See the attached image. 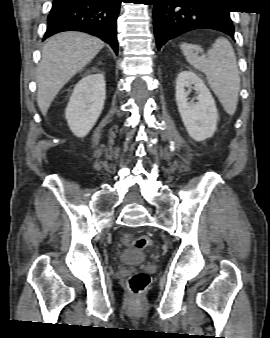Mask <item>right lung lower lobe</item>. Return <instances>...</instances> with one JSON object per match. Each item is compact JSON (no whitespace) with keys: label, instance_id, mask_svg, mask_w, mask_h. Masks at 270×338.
I'll list each match as a JSON object with an SVG mask.
<instances>
[{"label":"right lung lower lobe","instance_id":"98d812e1","mask_svg":"<svg viewBox=\"0 0 270 338\" xmlns=\"http://www.w3.org/2000/svg\"><path fill=\"white\" fill-rule=\"evenodd\" d=\"M122 0H53L44 39L69 30L95 35L118 53L116 19Z\"/></svg>","mask_w":270,"mask_h":338}]
</instances>
